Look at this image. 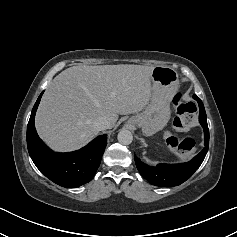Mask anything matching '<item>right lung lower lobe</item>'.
Wrapping results in <instances>:
<instances>
[{
    "mask_svg": "<svg viewBox=\"0 0 237 237\" xmlns=\"http://www.w3.org/2000/svg\"><path fill=\"white\" fill-rule=\"evenodd\" d=\"M43 92L38 97L27 126V147L36 167L47 178L63 187H78L93 178L106 147L105 135L95 138L84 148L56 153L38 137L34 126L35 113Z\"/></svg>",
    "mask_w": 237,
    "mask_h": 237,
    "instance_id": "98d812e1",
    "label": "right lung lower lobe"
}]
</instances>
